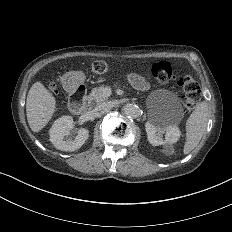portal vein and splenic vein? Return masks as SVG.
Returning <instances> with one entry per match:
<instances>
[{"label": "portal vein and splenic vein", "instance_id": "1", "mask_svg": "<svg viewBox=\"0 0 232 232\" xmlns=\"http://www.w3.org/2000/svg\"><path fill=\"white\" fill-rule=\"evenodd\" d=\"M105 93H106L107 95H110V94H111V89H110V88H106V89H105Z\"/></svg>", "mask_w": 232, "mask_h": 232}]
</instances>
